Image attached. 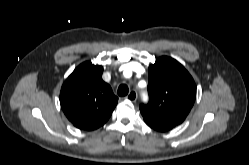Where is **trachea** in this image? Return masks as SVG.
<instances>
[{"label":"trachea","instance_id":"3493384b","mask_svg":"<svg viewBox=\"0 0 249 165\" xmlns=\"http://www.w3.org/2000/svg\"><path fill=\"white\" fill-rule=\"evenodd\" d=\"M128 94V87L125 84H122L118 87V95L123 97Z\"/></svg>","mask_w":249,"mask_h":165}]
</instances>
